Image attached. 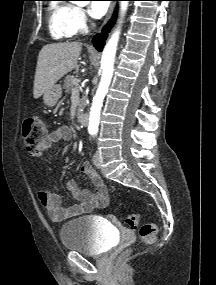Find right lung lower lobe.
Instances as JSON below:
<instances>
[{
	"label": "right lung lower lobe",
	"mask_w": 216,
	"mask_h": 285,
	"mask_svg": "<svg viewBox=\"0 0 216 285\" xmlns=\"http://www.w3.org/2000/svg\"><path fill=\"white\" fill-rule=\"evenodd\" d=\"M115 1H119V0H115ZM115 20H116V15H114L112 20L110 22H108V24L103 28L102 33L96 35L93 38V45L96 47V49L98 51H102L104 44H105V40H106L107 35H108V32L110 31L111 27L115 23Z\"/></svg>",
	"instance_id": "98d812e1"
}]
</instances>
